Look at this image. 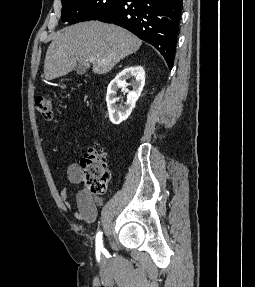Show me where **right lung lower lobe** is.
<instances>
[{
    "label": "right lung lower lobe",
    "mask_w": 255,
    "mask_h": 287,
    "mask_svg": "<svg viewBox=\"0 0 255 287\" xmlns=\"http://www.w3.org/2000/svg\"><path fill=\"white\" fill-rule=\"evenodd\" d=\"M183 0H123L96 20L119 25L153 45L169 69L175 58Z\"/></svg>",
    "instance_id": "obj_1"
}]
</instances>
